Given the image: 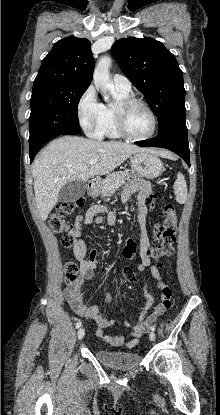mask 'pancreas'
<instances>
[{
    "mask_svg": "<svg viewBox=\"0 0 220 415\" xmlns=\"http://www.w3.org/2000/svg\"><path fill=\"white\" fill-rule=\"evenodd\" d=\"M129 176V173L126 171H116L108 175L101 181L102 197L112 196L120 186L125 184Z\"/></svg>",
    "mask_w": 220,
    "mask_h": 415,
    "instance_id": "pancreas-1",
    "label": "pancreas"
}]
</instances>
